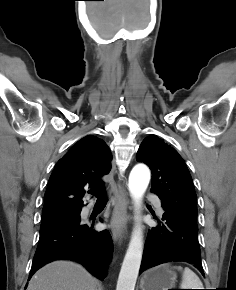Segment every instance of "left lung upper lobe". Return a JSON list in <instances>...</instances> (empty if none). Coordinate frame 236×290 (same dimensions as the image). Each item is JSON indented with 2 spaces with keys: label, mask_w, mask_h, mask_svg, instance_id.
Wrapping results in <instances>:
<instances>
[{
  "label": "left lung upper lobe",
  "mask_w": 236,
  "mask_h": 290,
  "mask_svg": "<svg viewBox=\"0 0 236 290\" xmlns=\"http://www.w3.org/2000/svg\"><path fill=\"white\" fill-rule=\"evenodd\" d=\"M136 159L150 167L153 179L151 192L161 199L165 211L198 229L192 178L176 150L156 135H150L139 147Z\"/></svg>",
  "instance_id": "5c2ea615"
}]
</instances>
